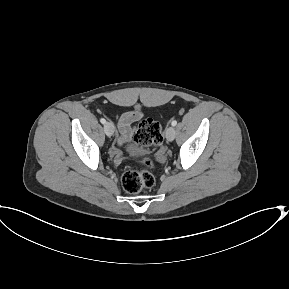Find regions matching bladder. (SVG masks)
Listing matches in <instances>:
<instances>
[{
  "mask_svg": "<svg viewBox=\"0 0 289 289\" xmlns=\"http://www.w3.org/2000/svg\"><path fill=\"white\" fill-rule=\"evenodd\" d=\"M142 152V149L141 148H135V149H133V153L134 154H140Z\"/></svg>",
  "mask_w": 289,
  "mask_h": 289,
  "instance_id": "obj_1",
  "label": "bladder"
}]
</instances>
